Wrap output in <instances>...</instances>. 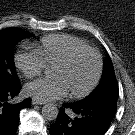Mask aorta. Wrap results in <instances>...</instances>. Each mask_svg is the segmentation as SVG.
Instances as JSON below:
<instances>
[{"instance_id":"aorta-1","label":"aorta","mask_w":135,"mask_h":135,"mask_svg":"<svg viewBox=\"0 0 135 135\" xmlns=\"http://www.w3.org/2000/svg\"><path fill=\"white\" fill-rule=\"evenodd\" d=\"M58 112V108L52 103H48L42 108V116L48 121L55 120L58 116Z\"/></svg>"}]
</instances>
